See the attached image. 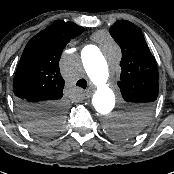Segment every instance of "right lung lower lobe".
<instances>
[{"instance_id": "obj_1", "label": "right lung lower lobe", "mask_w": 174, "mask_h": 174, "mask_svg": "<svg viewBox=\"0 0 174 174\" xmlns=\"http://www.w3.org/2000/svg\"><path fill=\"white\" fill-rule=\"evenodd\" d=\"M17 110L25 121L27 116L35 113L46 112L51 108H61V102L50 103L45 101L16 100Z\"/></svg>"}]
</instances>
